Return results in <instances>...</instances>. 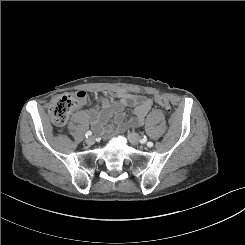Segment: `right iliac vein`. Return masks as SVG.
Here are the masks:
<instances>
[{
	"label": "right iliac vein",
	"instance_id": "obj_1",
	"mask_svg": "<svg viewBox=\"0 0 245 245\" xmlns=\"http://www.w3.org/2000/svg\"><path fill=\"white\" fill-rule=\"evenodd\" d=\"M86 143H87L88 145L94 144V143H95V138H94L93 136L88 137V138L86 139Z\"/></svg>",
	"mask_w": 245,
	"mask_h": 245
}]
</instances>
